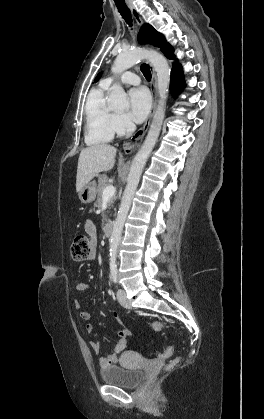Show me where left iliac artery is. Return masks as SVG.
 <instances>
[{
    "label": "left iliac artery",
    "instance_id": "obj_1",
    "mask_svg": "<svg viewBox=\"0 0 264 419\" xmlns=\"http://www.w3.org/2000/svg\"><path fill=\"white\" fill-rule=\"evenodd\" d=\"M117 271L116 267H111V277L115 283L117 282Z\"/></svg>",
    "mask_w": 264,
    "mask_h": 419
}]
</instances>
